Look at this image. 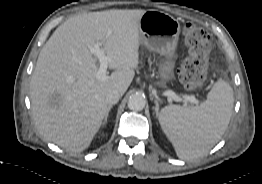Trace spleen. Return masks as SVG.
<instances>
[{"label":"spleen","mask_w":262,"mask_h":184,"mask_svg":"<svg viewBox=\"0 0 262 184\" xmlns=\"http://www.w3.org/2000/svg\"><path fill=\"white\" fill-rule=\"evenodd\" d=\"M233 89L218 79L200 106L168 105L159 113V123L177 156L192 160L206 154L225 133L232 115Z\"/></svg>","instance_id":"1"}]
</instances>
